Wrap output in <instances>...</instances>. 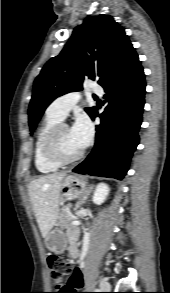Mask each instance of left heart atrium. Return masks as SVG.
I'll use <instances>...</instances> for the list:
<instances>
[{"instance_id": "left-heart-atrium-1", "label": "left heart atrium", "mask_w": 170, "mask_h": 293, "mask_svg": "<svg viewBox=\"0 0 170 293\" xmlns=\"http://www.w3.org/2000/svg\"><path fill=\"white\" fill-rule=\"evenodd\" d=\"M76 143L81 147H85L92 136V126L86 117L79 118L70 128Z\"/></svg>"}]
</instances>
